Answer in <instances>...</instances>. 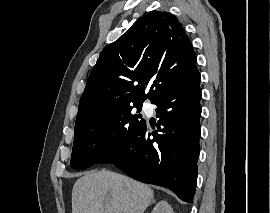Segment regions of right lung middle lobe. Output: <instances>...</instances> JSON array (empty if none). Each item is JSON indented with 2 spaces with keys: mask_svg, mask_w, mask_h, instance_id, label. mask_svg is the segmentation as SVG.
Returning <instances> with one entry per match:
<instances>
[{
  "mask_svg": "<svg viewBox=\"0 0 270 213\" xmlns=\"http://www.w3.org/2000/svg\"><path fill=\"white\" fill-rule=\"evenodd\" d=\"M141 107L142 103L124 105L75 123L72 168L81 170L99 163L130 138L145 123L138 114Z\"/></svg>",
  "mask_w": 270,
  "mask_h": 213,
  "instance_id": "obj_1",
  "label": "right lung middle lobe"
}]
</instances>
